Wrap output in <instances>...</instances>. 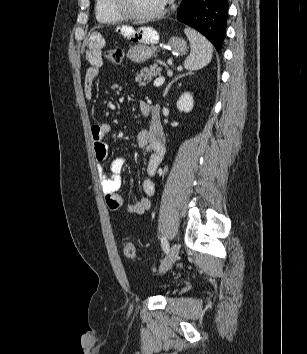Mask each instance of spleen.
Listing matches in <instances>:
<instances>
[{
  "mask_svg": "<svg viewBox=\"0 0 307 354\" xmlns=\"http://www.w3.org/2000/svg\"><path fill=\"white\" fill-rule=\"evenodd\" d=\"M185 33L190 42L191 52L184 62L185 69L199 70L208 65L212 59L213 46L194 29H186Z\"/></svg>",
  "mask_w": 307,
  "mask_h": 354,
  "instance_id": "obj_1",
  "label": "spleen"
}]
</instances>
